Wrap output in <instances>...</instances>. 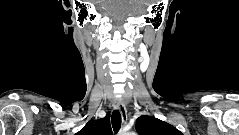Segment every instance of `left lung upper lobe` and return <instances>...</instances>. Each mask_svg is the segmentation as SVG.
I'll use <instances>...</instances> for the list:
<instances>
[{
  "mask_svg": "<svg viewBox=\"0 0 239 135\" xmlns=\"http://www.w3.org/2000/svg\"><path fill=\"white\" fill-rule=\"evenodd\" d=\"M136 131L139 135H183L174 126L147 115L136 120Z\"/></svg>",
  "mask_w": 239,
  "mask_h": 135,
  "instance_id": "1",
  "label": "left lung upper lobe"
}]
</instances>
